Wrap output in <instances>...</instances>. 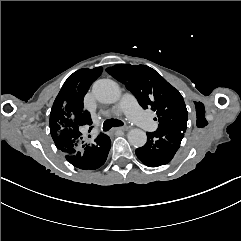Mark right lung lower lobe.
<instances>
[{"instance_id":"right-lung-lower-lobe-1","label":"right lung lower lobe","mask_w":241,"mask_h":241,"mask_svg":"<svg viewBox=\"0 0 241 241\" xmlns=\"http://www.w3.org/2000/svg\"><path fill=\"white\" fill-rule=\"evenodd\" d=\"M110 147V138L103 135L94 142L81 146L75 154L65 155V158L79 169L95 170L105 163Z\"/></svg>"}]
</instances>
